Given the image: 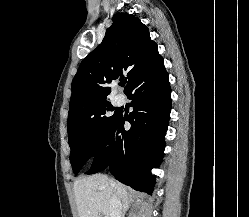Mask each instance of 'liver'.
<instances>
[{
  "mask_svg": "<svg viewBox=\"0 0 249 217\" xmlns=\"http://www.w3.org/2000/svg\"><path fill=\"white\" fill-rule=\"evenodd\" d=\"M74 194L79 217H110L112 194L122 201L128 199L125 186L103 174L75 181Z\"/></svg>",
  "mask_w": 249,
  "mask_h": 217,
  "instance_id": "obj_1",
  "label": "liver"
}]
</instances>
